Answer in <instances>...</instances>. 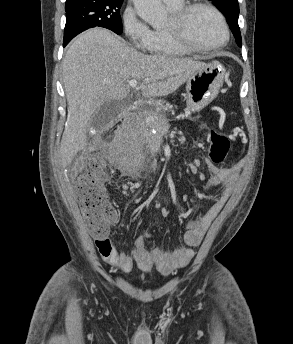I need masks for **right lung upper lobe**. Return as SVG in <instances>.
Listing matches in <instances>:
<instances>
[{
	"instance_id": "1",
	"label": "right lung upper lobe",
	"mask_w": 293,
	"mask_h": 344,
	"mask_svg": "<svg viewBox=\"0 0 293 344\" xmlns=\"http://www.w3.org/2000/svg\"><path fill=\"white\" fill-rule=\"evenodd\" d=\"M76 1H79V0H66V3H71V2H76Z\"/></svg>"
}]
</instances>
